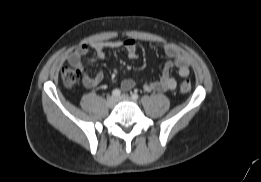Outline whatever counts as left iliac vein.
I'll return each mask as SVG.
<instances>
[{"mask_svg": "<svg viewBox=\"0 0 261 182\" xmlns=\"http://www.w3.org/2000/svg\"><path fill=\"white\" fill-rule=\"evenodd\" d=\"M117 101H133V102H135V100H133L128 95H121L120 97L117 98Z\"/></svg>", "mask_w": 261, "mask_h": 182, "instance_id": "obj_1", "label": "left iliac vein"}]
</instances>
